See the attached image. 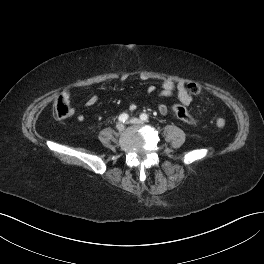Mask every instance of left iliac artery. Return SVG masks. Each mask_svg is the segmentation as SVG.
I'll use <instances>...</instances> for the list:
<instances>
[{
  "label": "left iliac artery",
  "mask_w": 264,
  "mask_h": 264,
  "mask_svg": "<svg viewBox=\"0 0 264 264\" xmlns=\"http://www.w3.org/2000/svg\"><path fill=\"white\" fill-rule=\"evenodd\" d=\"M140 119H141L142 121H147V120H148V115L145 114V113H143V114L140 115Z\"/></svg>",
  "instance_id": "1"
}]
</instances>
